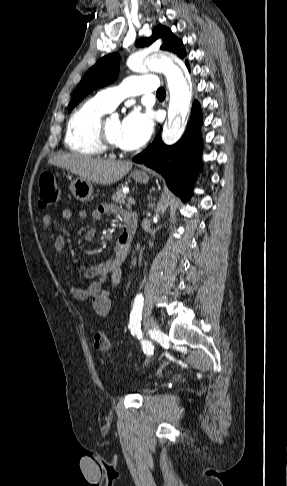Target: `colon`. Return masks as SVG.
Returning a JSON list of instances; mask_svg holds the SVG:
<instances>
[{"label": "colon", "mask_w": 287, "mask_h": 486, "mask_svg": "<svg viewBox=\"0 0 287 486\" xmlns=\"http://www.w3.org/2000/svg\"><path fill=\"white\" fill-rule=\"evenodd\" d=\"M60 189L56 177L52 173H44L39 178L38 206L46 208L55 203L59 197ZM110 345L109 338L104 330L94 333V346L97 350L106 351Z\"/></svg>", "instance_id": "5ec220e1"}]
</instances>
